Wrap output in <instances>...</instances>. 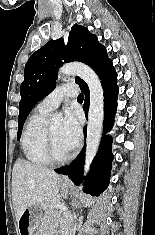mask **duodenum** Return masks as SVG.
Wrapping results in <instances>:
<instances>
[{"instance_id": "duodenum-1", "label": "duodenum", "mask_w": 155, "mask_h": 235, "mask_svg": "<svg viewBox=\"0 0 155 235\" xmlns=\"http://www.w3.org/2000/svg\"><path fill=\"white\" fill-rule=\"evenodd\" d=\"M64 235H69L68 233H65Z\"/></svg>"}]
</instances>
